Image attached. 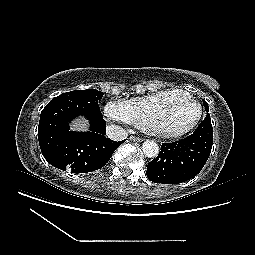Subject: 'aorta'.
Listing matches in <instances>:
<instances>
[{
    "mask_svg": "<svg viewBox=\"0 0 255 255\" xmlns=\"http://www.w3.org/2000/svg\"><path fill=\"white\" fill-rule=\"evenodd\" d=\"M143 153L148 158H154L159 153V147L154 141H145L142 145Z\"/></svg>",
    "mask_w": 255,
    "mask_h": 255,
    "instance_id": "aorta-1",
    "label": "aorta"
}]
</instances>
